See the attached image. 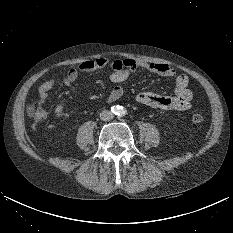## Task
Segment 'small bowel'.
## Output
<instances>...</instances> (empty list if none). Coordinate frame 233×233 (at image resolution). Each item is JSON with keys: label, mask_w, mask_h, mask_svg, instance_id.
I'll list each match as a JSON object with an SVG mask.
<instances>
[{"label": "small bowel", "mask_w": 233, "mask_h": 233, "mask_svg": "<svg viewBox=\"0 0 233 233\" xmlns=\"http://www.w3.org/2000/svg\"><path fill=\"white\" fill-rule=\"evenodd\" d=\"M107 66L111 69V73L108 75L109 80L117 84L106 95L107 102H114L120 99L124 95L127 88L124 83L133 75L135 71L145 70L171 78L174 81L175 90L172 94L141 92L136 96V100L139 104L155 109L169 111H182L191 107L192 92L188 87V76L184 73H177L172 66L167 64L137 61L130 58L110 60L106 57H99L84 61L72 67L65 75L61 77V81L70 88L74 95H77L78 91L73 86V83L81 73L93 72ZM55 83L56 78H51L40 85L38 89V109L44 107L47 95L54 87ZM64 108V101L58 103L54 109L55 116L58 118L61 117L64 112Z\"/></svg>", "instance_id": "small-bowel-1"}]
</instances>
